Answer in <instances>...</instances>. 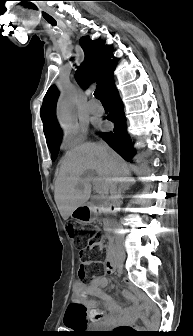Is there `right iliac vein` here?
<instances>
[{"instance_id":"obj_1","label":"right iliac vein","mask_w":193,"mask_h":336,"mask_svg":"<svg viewBox=\"0 0 193 336\" xmlns=\"http://www.w3.org/2000/svg\"><path fill=\"white\" fill-rule=\"evenodd\" d=\"M125 261V256H122L121 257V262H124Z\"/></svg>"}]
</instances>
